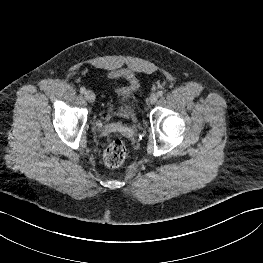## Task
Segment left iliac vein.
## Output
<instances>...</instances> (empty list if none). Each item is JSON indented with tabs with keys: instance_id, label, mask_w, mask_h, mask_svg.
<instances>
[{
	"instance_id": "left-iliac-vein-1",
	"label": "left iliac vein",
	"mask_w": 263,
	"mask_h": 263,
	"mask_svg": "<svg viewBox=\"0 0 263 263\" xmlns=\"http://www.w3.org/2000/svg\"><path fill=\"white\" fill-rule=\"evenodd\" d=\"M158 100V95L156 93L152 94L149 98L150 104H155Z\"/></svg>"
}]
</instances>
